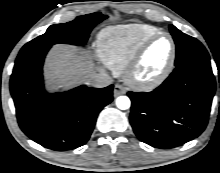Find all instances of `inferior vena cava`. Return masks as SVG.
I'll use <instances>...</instances> for the list:
<instances>
[{"mask_svg":"<svg viewBox=\"0 0 220 173\" xmlns=\"http://www.w3.org/2000/svg\"><path fill=\"white\" fill-rule=\"evenodd\" d=\"M112 83H113L112 77L104 72L93 74L88 81V85L90 87H95V88L107 87Z\"/></svg>","mask_w":220,"mask_h":173,"instance_id":"1","label":"inferior vena cava"}]
</instances>
